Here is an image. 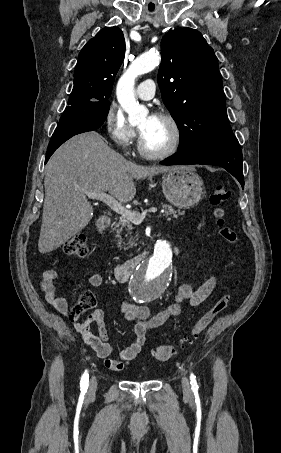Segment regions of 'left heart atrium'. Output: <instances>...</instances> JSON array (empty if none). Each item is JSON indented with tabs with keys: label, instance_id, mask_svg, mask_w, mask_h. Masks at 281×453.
<instances>
[{
	"label": "left heart atrium",
	"instance_id": "left-heart-atrium-1",
	"mask_svg": "<svg viewBox=\"0 0 281 453\" xmlns=\"http://www.w3.org/2000/svg\"><path fill=\"white\" fill-rule=\"evenodd\" d=\"M148 119H149V122H151V121H153L154 119H156V116L150 115Z\"/></svg>",
	"mask_w": 281,
	"mask_h": 453
}]
</instances>
